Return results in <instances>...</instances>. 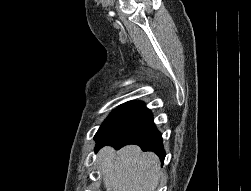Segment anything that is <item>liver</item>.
Listing matches in <instances>:
<instances>
[{"label":"liver","mask_w":251,"mask_h":191,"mask_svg":"<svg viewBox=\"0 0 251 191\" xmlns=\"http://www.w3.org/2000/svg\"><path fill=\"white\" fill-rule=\"evenodd\" d=\"M97 163L107 191H154L159 183L157 155L143 153L139 145H125L119 151L106 145L100 149Z\"/></svg>","instance_id":"liver-1"}]
</instances>
